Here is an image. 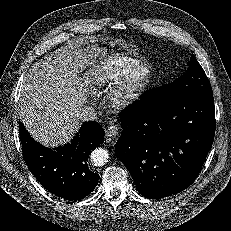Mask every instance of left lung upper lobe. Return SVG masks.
<instances>
[{"label": "left lung upper lobe", "mask_w": 231, "mask_h": 231, "mask_svg": "<svg viewBox=\"0 0 231 231\" xmlns=\"http://www.w3.org/2000/svg\"><path fill=\"white\" fill-rule=\"evenodd\" d=\"M202 94L213 95V92L203 68L192 54L185 74L172 83L147 91L144 95L148 103L164 105L181 98Z\"/></svg>", "instance_id": "obj_1"}]
</instances>
